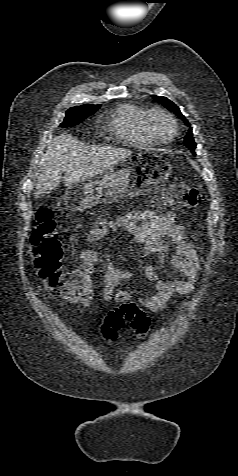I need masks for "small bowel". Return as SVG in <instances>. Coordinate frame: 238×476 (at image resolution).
Listing matches in <instances>:
<instances>
[{
    "label": "small bowel",
    "instance_id": "1",
    "mask_svg": "<svg viewBox=\"0 0 238 476\" xmlns=\"http://www.w3.org/2000/svg\"><path fill=\"white\" fill-rule=\"evenodd\" d=\"M173 213L156 214L150 210L130 211L108 220L103 224H95L86 234L85 242L92 243L105 236L109 231L124 230L132 241L140 246L143 257V274L154 283L153 294L147 297H135L128 291L115 290L123 282L132 277V272L113 266L110 256L100 257L91 249L79 254L82 266L77 270L83 276L80 287L69 291H53L65 302L79 305L87 313H93L92 306L94 285L91 269L99 265L103 271V298L105 301L138 304L151 312L162 310L174 294L189 295L196 285L200 272L199 252L188 241L184 226L174 223ZM155 255L161 263H168L172 268L185 276V279L163 280L158 271L147 261V257ZM170 255L168 259L166 256Z\"/></svg>",
    "mask_w": 238,
    "mask_h": 476
}]
</instances>
